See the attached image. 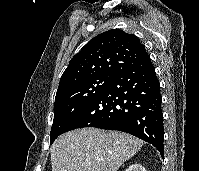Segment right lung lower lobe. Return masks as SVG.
Here are the masks:
<instances>
[{"instance_id": "98d812e1", "label": "right lung lower lobe", "mask_w": 199, "mask_h": 171, "mask_svg": "<svg viewBox=\"0 0 199 171\" xmlns=\"http://www.w3.org/2000/svg\"><path fill=\"white\" fill-rule=\"evenodd\" d=\"M161 101L149 57L117 74L77 112L63 133L83 127L123 131L152 144L164 157Z\"/></svg>"}]
</instances>
